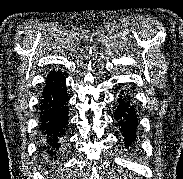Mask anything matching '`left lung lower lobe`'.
Returning a JSON list of instances; mask_svg holds the SVG:
<instances>
[{
  "label": "left lung lower lobe",
  "mask_w": 183,
  "mask_h": 179,
  "mask_svg": "<svg viewBox=\"0 0 183 179\" xmlns=\"http://www.w3.org/2000/svg\"><path fill=\"white\" fill-rule=\"evenodd\" d=\"M115 119L118 121L120 131L124 136L125 146H129L136 138L138 117L130 96L124 94V91L120 93L117 99Z\"/></svg>",
  "instance_id": "0a47b994"
}]
</instances>
